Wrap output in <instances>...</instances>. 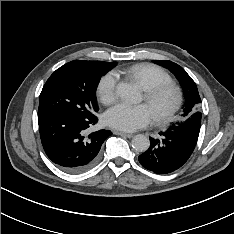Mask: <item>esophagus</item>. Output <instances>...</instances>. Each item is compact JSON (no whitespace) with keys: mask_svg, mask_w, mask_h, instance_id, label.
Returning <instances> with one entry per match:
<instances>
[{"mask_svg":"<svg viewBox=\"0 0 234 234\" xmlns=\"http://www.w3.org/2000/svg\"><path fill=\"white\" fill-rule=\"evenodd\" d=\"M113 133L116 134V135H121V136H125V137H128V138L133 136L132 133H126V132H121V131H114Z\"/></svg>","mask_w":234,"mask_h":234,"instance_id":"34e87169","label":"esophagus"}]
</instances>
